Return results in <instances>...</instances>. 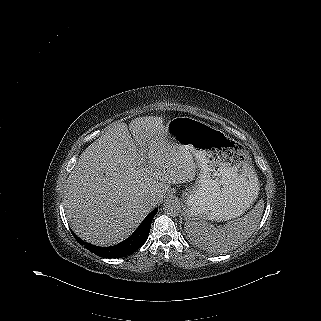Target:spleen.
Returning a JSON list of instances; mask_svg holds the SVG:
<instances>
[{
	"label": "spleen",
	"mask_w": 321,
	"mask_h": 321,
	"mask_svg": "<svg viewBox=\"0 0 321 321\" xmlns=\"http://www.w3.org/2000/svg\"><path fill=\"white\" fill-rule=\"evenodd\" d=\"M264 211V201L259 200L246 215L230 221L222 227H215L206 220H186L185 231L190 240L204 251L223 254L246 242L257 229Z\"/></svg>",
	"instance_id": "spleen-1"
}]
</instances>
